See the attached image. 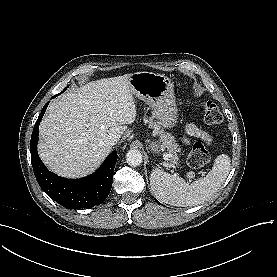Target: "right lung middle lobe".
Instances as JSON below:
<instances>
[{
  "label": "right lung middle lobe",
  "instance_id": "dd1d6c3e",
  "mask_svg": "<svg viewBox=\"0 0 277 277\" xmlns=\"http://www.w3.org/2000/svg\"><path fill=\"white\" fill-rule=\"evenodd\" d=\"M65 90H66V88H65L62 92H64ZM62 92H61V93H62ZM61 93H59V94H61ZM59 94H57V95H59ZM57 95H55V96H57ZM55 96H54V97H55Z\"/></svg>",
  "mask_w": 277,
  "mask_h": 277
}]
</instances>
